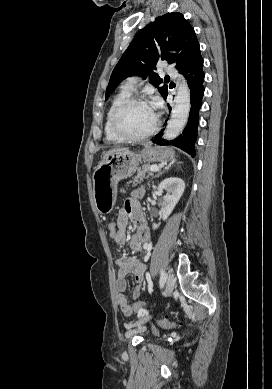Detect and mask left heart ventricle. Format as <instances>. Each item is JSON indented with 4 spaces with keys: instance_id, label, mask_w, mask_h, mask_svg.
<instances>
[{
    "instance_id": "b2bd125f",
    "label": "left heart ventricle",
    "mask_w": 272,
    "mask_h": 389,
    "mask_svg": "<svg viewBox=\"0 0 272 389\" xmlns=\"http://www.w3.org/2000/svg\"><path fill=\"white\" fill-rule=\"evenodd\" d=\"M155 112L147 104H135L129 107L121 118L122 129L132 135L147 132L153 125Z\"/></svg>"
}]
</instances>
